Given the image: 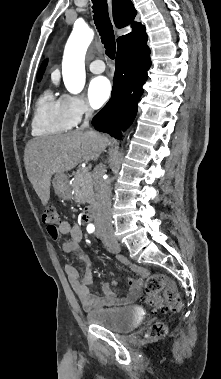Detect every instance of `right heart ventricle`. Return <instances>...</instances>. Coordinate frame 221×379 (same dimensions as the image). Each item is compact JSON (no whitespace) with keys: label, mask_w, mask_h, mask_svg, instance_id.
Here are the masks:
<instances>
[{"label":"right heart ventricle","mask_w":221,"mask_h":379,"mask_svg":"<svg viewBox=\"0 0 221 379\" xmlns=\"http://www.w3.org/2000/svg\"><path fill=\"white\" fill-rule=\"evenodd\" d=\"M74 126L61 98L45 90L37 99L32 118V133L47 136L66 132Z\"/></svg>","instance_id":"1"}]
</instances>
